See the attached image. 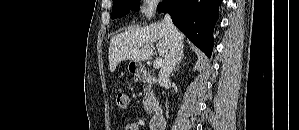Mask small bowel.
Returning a JSON list of instances; mask_svg holds the SVG:
<instances>
[{
  "label": "small bowel",
  "instance_id": "c3829d8e",
  "mask_svg": "<svg viewBox=\"0 0 299 130\" xmlns=\"http://www.w3.org/2000/svg\"><path fill=\"white\" fill-rule=\"evenodd\" d=\"M124 130H139V125L136 122H129L124 126Z\"/></svg>",
  "mask_w": 299,
  "mask_h": 130
}]
</instances>
